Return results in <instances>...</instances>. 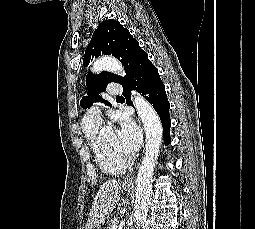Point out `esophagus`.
Here are the masks:
<instances>
[{"label":"esophagus","instance_id":"1","mask_svg":"<svg viewBox=\"0 0 255 229\" xmlns=\"http://www.w3.org/2000/svg\"><path fill=\"white\" fill-rule=\"evenodd\" d=\"M134 182H135L134 176H130V177L125 179L124 185L130 186V185H133Z\"/></svg>","mask_w":255,"mask_h":229}]
</instances>
